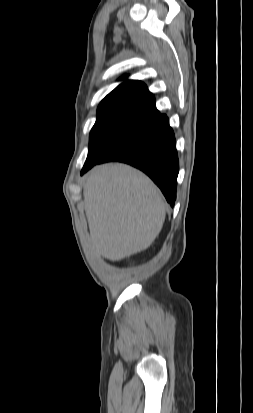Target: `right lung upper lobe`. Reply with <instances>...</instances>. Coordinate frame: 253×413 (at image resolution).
<instances>
[{
    "label": "right lung upper lobe",
    "instance_id": "cb5924a9",
    "mask_svg": "<svg viewBox=\"0 0 253 413\" xmlns=\"http://www.w3.org/2000/svg\"><path fill=\"white\" fill-rule=\"evenodd\" d=\"M111 111H132L163 119L166 117L156 109L155 99L146 85L138 80L124 81L101 101L97 112Z\"/></svg>",
    "mask_w": 253,
    "mask_h": 413
}]
</instances>
